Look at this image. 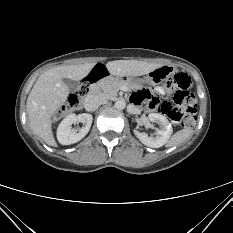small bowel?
<instances>
[{
  "label": "small bowel",
  "mask_w": 233,
  "mask_h": 233,
  "mask_svg": "<svg viewBox=\"0 0 233 233\" xmlns=\"http://www.w3.org/2000/svg\"><path fill=\"white\" fill-rule=\"evenodd\" d=\"M156 92L159 93V94H164L165 93V90L162 88V87H158L156 88ZM154 97L146 92V91H139L137 93H135L133 95V101L135 103H140L141 101L145 100L147 102V108L148 110L150 111H154L155 109H153L150 105L151 103V100L153 99Z\"/></svg>",
  "instance_id": "obj_1"
}]
</instances>
